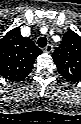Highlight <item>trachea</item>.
Here are the masks:
<instances>
[{
    "instance_id": "obj_1",
    "label": "trachea",
    "mask_w": 81,
    "mask_h": 124,
    "mask_svg": "<svg viewBox=\"0 0 81 124\" xmlns=\"http://www.w3.org/2000/svg\"><path fill=\"white\" fill-rule=\"evenodd\" d=\"M39 47L43 48L47 45V39L45 37H40L37 41Z\"/></svg>"
}]
</instances>
